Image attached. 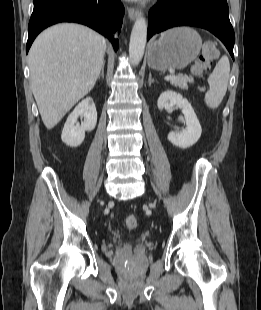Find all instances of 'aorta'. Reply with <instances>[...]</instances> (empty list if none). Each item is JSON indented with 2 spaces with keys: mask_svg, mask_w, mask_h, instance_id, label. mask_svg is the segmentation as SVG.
<instances>
[{
  "mask_svg": "<svg viewBox=\"0 0 261 310\" xmlns=\"http://www.w3.org/2000/svg\"><path fill=\"white\" fill-rule=\"evenodd\" d=\"M147 22L144 17H139L132 28L129 43V59L132 65H138L142 60L146 45Z\"/></svg>",
  "mask_w": 261,
  "mask_h": 310,
  "instance_id": "aorta-1",
  "label": "aorta"
}]
</instances>
